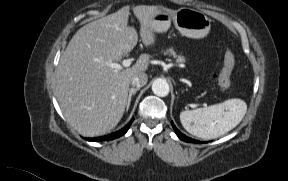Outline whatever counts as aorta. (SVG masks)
<instances>
[{
  "mask_svg": "<svg viewBox=\"0 0 288 181\" xmlns=\"http://www.w3.org/2000/svg\"><path fill=\"white\" fill-rule=\"evenodd\" d=\"M152 91L159 97H165L169 94V84L165 79L158 78L152 84Z\"/></svg>",
  "mask_w": 288,
  "mask_h": 181,
  "instance_id": "762f6f07",
  "label": "aorta"
}]
</instances>
